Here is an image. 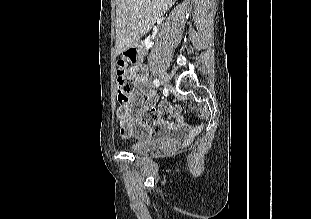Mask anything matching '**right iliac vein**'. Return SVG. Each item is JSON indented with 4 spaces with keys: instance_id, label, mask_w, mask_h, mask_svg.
Here are the masks:
<instances>
[{
    "instance_id": "obj_1",
    "label": "right iliac vein",
    "mask_w": 311,
    "mask_h": 219,
    "mask_svg": "<svg viewBox=\"0 0 311 219\" xmlns=\"http://www.w3.org/2000/svg\"><path fill=\"white\" fill-rule=\"evenodd\" d=\"M160 82L161 84L166 87L169 84V77L165 72L160 73Z\"/></svg>"
}]
</instances>
